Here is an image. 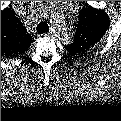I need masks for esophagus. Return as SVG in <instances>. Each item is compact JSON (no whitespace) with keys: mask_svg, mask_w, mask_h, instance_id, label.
<instances>
[{"mask_svg":"<svg viewBox=\"0 0 121 121\" xmlns=\"http://www.w3.org/2000/svg\"><path fill=\"white\" fill-rule=\"evenodd\" d=\"M49 34H50V35L52 34V30L49 31Z\"/></svg>","mask_w":121,"mask_h":121,"instance_id":"esophagus-1","label":"esophagus"}]
</instances>
